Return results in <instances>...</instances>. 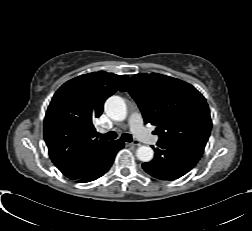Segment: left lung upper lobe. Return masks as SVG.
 Wrapping results in <instances>:
<instances>
[{
  "label": "left lung upper lobe",
  "mask_w": 252,
  "mask_h": 231,
  "mask_svg": "<svg viewBox=\"0 0 252 231\" xmlns=\"http://www.w3.org/2000/svg\"><path fill=\"white\" fill-rule=\"evenodd\" d=\"M138 104L145 123L156 126L159 141L206 145L212 126L209 107L192 85L157 73L136 74L121 88Z\"/></svg>",
  "instance_id": "1"
}]
</instances>
